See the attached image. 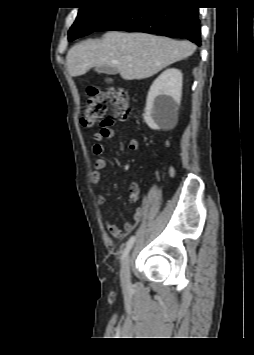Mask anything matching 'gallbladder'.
<instances>
[{"label":"gallbladder","instance_id":"bac80fb5","mask_svg":"<svg viewBox=\"0 0 254 355\" xmlns=\"http://www.w3.org/2000/svg\"><path fill=\"white\" fill-rule=\"evenodd\" d=\"M95 71H96L97 73L113 74V73H116V72H117V69L114 68V67H109V66L101 65V66L96 67V68H95Z\"/></svg>","mask_w":254,"mask_h":355}]
</instances>
